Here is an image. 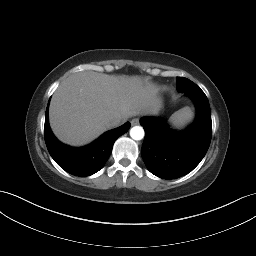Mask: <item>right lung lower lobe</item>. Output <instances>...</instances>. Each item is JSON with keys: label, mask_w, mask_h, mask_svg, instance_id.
Wrapping results in <instances>:
<instances>
[{"label": "right lung lower lobe", "mask_w": 256, "mask_h": 256, "mask_svg": "<svg viewBox=\"0 0 256 256\" xmlns=\"http://www.w3.org/2000/svg\"><path fill=\"white\" fill-rule=\"evenodd\" d=\"M49 105V103H48ZM127 122L104 133L93 143L72 148L60 143L52 134L48 123V106L45 114L44 136L47 149L55 162L68 173L75 176H90L98 172L108 160L115 140L130 128Z\"/></svg>", "instance_id": "right-lung-lower-lobe-1"}]
</instances>
